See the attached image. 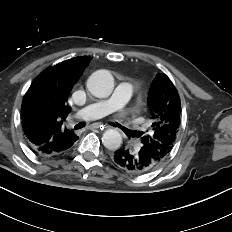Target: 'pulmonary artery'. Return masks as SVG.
Wrapping results in <instances>:
<instances>
[{
  "mask_svg": "<svg viewBox=\"0 0 232 232\" xmlns=\"http://www.w3.org/2000/svg\"><path fill=\"white\" fill-rule=\"evenodd\" d=\"M132 95L133 86L128 82H121L117 85L110 98L86 105L77 112L76 116L84 119H95L105 116L124 106ZM125 124L128 127H134L129 121H126Z\"/></svg>",
  "mask_w": 232,
  "mask_h": 232,
  "instance_id": "pulmonary-artery-1",
  "label": "pulmonary artery"
}]
</instances>
